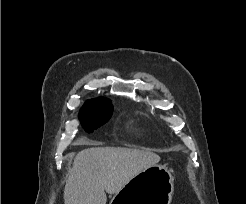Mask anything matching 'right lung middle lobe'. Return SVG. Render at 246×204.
<instances>
[{
    "instance_id": "1",
    "label": "right lung middle lobe",
    "mask_w": 246,
    "mask_h": 204,
    "mask_svg": "<svg viewBox=\"0 0 246 204\" xmlns=\"http://www.w3.org/2000/svg\"><path fill=\"white\" fill-rule=\"evenodd\" d=\"M112 104L110 100L103 99L88 103L82 108L80 120L87 132H92L105 124L112 115Z\"/></svg>"
}]
</instances>
